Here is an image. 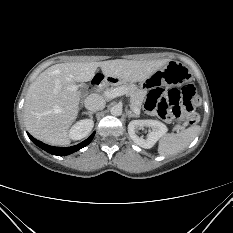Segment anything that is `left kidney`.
Returning a JSON list of instances; mask_svg holds the SVG:
<instances>
[{"instance_id":"5707ae66","label":"left kidney","mask_w":233,"mask_h":233,"mask_svg":"<svg viewBox=\"0 0 233 233\" xmlns=\"http://www.w3.org/2000/svg\"><path fill=\"white\" fill-rule=\"evenodd\" d=\"M142 127L152 129L146 139L139 137L136 131ZM167 132V127L162 122L156 120H133L128 124V133L135 144L142 148H152L155 143Z\"/></svg>"}]
</instances>
